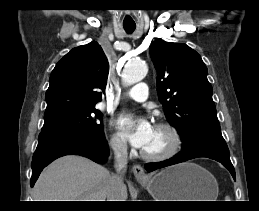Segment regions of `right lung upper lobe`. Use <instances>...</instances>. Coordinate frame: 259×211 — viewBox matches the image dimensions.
I'll use <instances>...</instances> for the list:
<instances>
[{"label":"right lung upper lobe","instance_id":"cb5924a9","mask_svg":"<svg viewBox=\"0 0 259 211\" xmlns=\"http://www.w3.org/2000/svg\"><path fill=\"white\" fill-rule=\"evenodd\" d=\"M108 72V60L97 42L72 49L51 73L44 123L95 107L102 100Z\"/></svg>","mask_w":259,"mask_h":211}]
</instances>
